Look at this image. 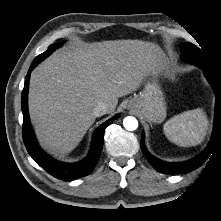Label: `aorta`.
Instances as JSON below:
<instances>
[{
    "mask_svg": "<svg viewBox=\"0 0 221 221\" xmlns=\"http://www.w3.org/2000/svg\"><path fill=\"white\" fill-rule=\"evenodd\" d=\"M123 125H124L126 130L133 131V130H136L138 128V121L133 116H127L123 120Z\"/></svg>",
    "mask_w": 221,
    "mask_h": 221,
    "instance_id": "1",
    "label": "aorta"
}]
</instances>
